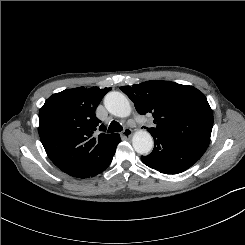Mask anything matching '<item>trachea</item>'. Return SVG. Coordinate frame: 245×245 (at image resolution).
Segmentation results:
<instances>
[{
    "instance_id": "3493384b",
    "label": "trachea",
    "mask_w": 245,
    "mask_h": 245,
    "mask_svg": "<svg viewBox=\"0 0 245 245\" xmlns=\"http://www.w3.org/2000/svg\"><path fill=\"white\" fill-rule=\"evenodd\" d=\"M123 130V127L116 121H112L107 130L108 133L120 132Z\"/></svg>"
}]
</instances>
